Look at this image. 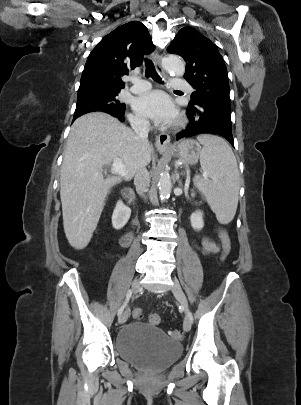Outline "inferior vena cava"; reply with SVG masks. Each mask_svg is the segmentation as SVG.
Returning <instances> with one entry per match:
<instances>
[{
	"mask_svg": "<svg viewBox=\"0 0 301 405\" xmlns=\"http://www.w3.org/2000/svg\"><path fill=\"white\" fill-rule=\"evenodd\" d=\"M131 126L135 135L140 140L148 141V132L150 129L149 121L137 118L132 121ZM134 184L136 186L137 193L144 197V193L147 191V187L150 184V175L145 166L139 167L136 171Z\"/></svg>",
	"mask_w": 301,
	"mask_h": 405,
	"instance_id": "1",
	"label": "inferior vena cava"
}]
</instances>
